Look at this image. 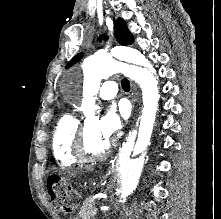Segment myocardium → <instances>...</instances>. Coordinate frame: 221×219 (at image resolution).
I'll list each match as a JSON object with an SVG mask.
<instances>
[{
	"instance_id": "myocardium-1",
	"label": "myocardium",
	"mask_w": 221,
	"mask_h": 219,
	"mask_svg": "<svg viewBox=\"0 0 221 219\" xmlns=\"http://www.w3.org/2000/svg\"><path fill=\"white\" fill-rule=\"evenodd\" d=\"M85 124L86 123H81L76 133V137L73 144V154L75 158L79 162H92L106 157L110 153L113 143L109 141L105 146V148L99 153H89L86 149V144H85V138H86Z\"/></svg>"
}]
</instances>
